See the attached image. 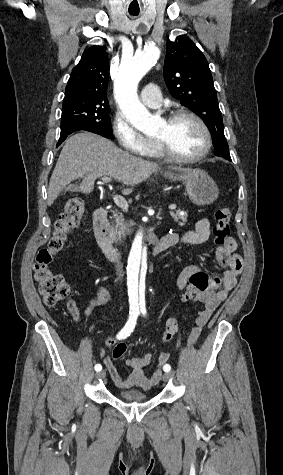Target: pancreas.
<instances>
[{"label":"pancreas","mask_w":283,"mask_h":475,"mask_svg":"<svg viewBox=\"0 0 283 475\" xmlns=\"http://www.w3.org/2000/svg\"><path fill=\"white\" fill-rule=\"evenodd\" d=\"M172 218H174V222H178V226H185V222H187V214L185 212L184 216H181L180 210H176L175 214L172 212ZM126 224H124L123 218H117L115 230L109 232V239L111 241H117V239L122 238V236H126Z\"/></svg>","instance_id":"pancreas-1"}]
</instances>
